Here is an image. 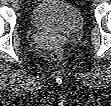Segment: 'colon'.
Masks as SVG:
<instances>
[{"mask_svg":"<svg viewBox=\"0 0 111 106\" xmlns=\"http://www.w3.org/2000/svg\"><path fill=\"white\" fill-rule=\"evenodd\" d=\"M64 53L62 50H56L54 51V53L52 54V59L56 62H59L63 59Z\"/></svg>","mask_w":111,"mask_h":106,"instance_id":"obj_1","label":"colon"}]
</instances>
